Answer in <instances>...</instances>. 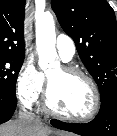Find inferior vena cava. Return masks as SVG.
Here are the masks:
<instances>
[{
    "mask_svg": "<svg viewBox=\"0 0 117 136\" xmlns=\"http://www.w3.org/2000/svg\"><path fill=\"white\" fill-rule=\"evenodd\" d=\"M19 117L21 120L26 121L30 127H39L41 126L40 120L31 116L25 109L19 112Z\"/></svg>",
    "mask_w": 117,
    "mask_h": 136,
    "instance_id": "602c4592",
    "label": "inferior vena cava"
}]
</instances>
